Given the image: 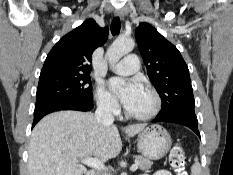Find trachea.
<instances>
[{"label": "trachea", "instance_id": "1", "mask_svg": "<svg viewBox=\"0 0 233 175\" xmlns=\"http://www.w3.org/2000/svg\"><path fill=\"white\" fill-rule=\"evenodd\" d=\"M120 27H121L120 18L115 17L111 23V33L113 36L117 35L120 32Z\"/></svg>", "mask_w": 233, "mask_h": 175}]
</instances>
